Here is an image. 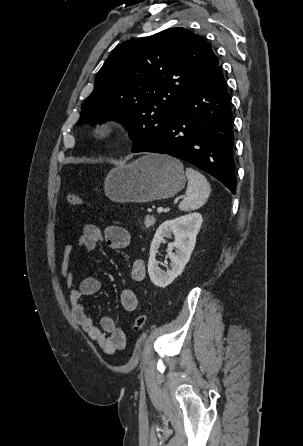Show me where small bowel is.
I'll return each instance as SVG.
<instances>
[{"instance_id":"c3829d8e","label":"small bowel","mask_w":303,"mask_h":446,"mask_svg":"<svg viewBox=\"0 0 303 446\" xmlns=\"http://www.w3.org/2000/svg\"><path fill=\"white\" fill-rule=\"evenodd\" d=\"M130 239V233L124 227L110 225L102 232L98 226L87 224L83 227L77 245L85 248L87 251H92L100 241L104 240L110 248L121 250L129 245ZM73 252V244L67 243L63 247L61 261V274L65 279L67 287L70 288L69 301L72 315L88 337L95 341L104 353L113 355L117 351L126 348V334L117 325L115 318L110 315L101 317L99 327L94 324L82 303V297L96 294L101 288V283L98 278L87 276L75 287V276L73 273L75 260L73 259ZM130 276L133 281L137 282L145 278L146 265L144 260L135 259L132 262ZM120 302L123 309L128 312H133L138 307V297L130 288L122 290Z\"/></svg>"}]
</instances>
